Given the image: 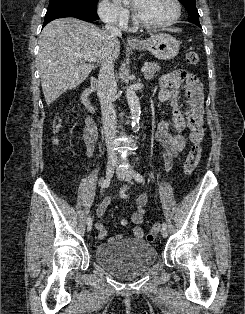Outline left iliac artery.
I'll return each mask as SVG.
<instances>
[{
    "instance_id": "1",
    "label": "left iliac artery",
    "mask_w": 245,
    "mask_h": 314,
    "mask_svg": "<svg viewBox=\"0 0 245 314\" xmlns=\"http://www.w3.org/2000/svg\"><path fill=\"white\" fill-rule=\"evenodd\" d=\"M133 176H134V178H135V180H136L137 182H143V181H144L143 176H142L140 173H138V172H134V175H133ZM162 227L165 228V229H167V224H166V223H163Z\"/></svg>"
}]
</instances>
